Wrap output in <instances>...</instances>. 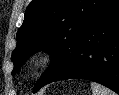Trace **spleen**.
Wrapping results in <instances>:
<instances>
[{
    "label": "spleen",
    "instance_id": "obj_1",
    "mask_svg": "<svg viewBox=\"0 0 119 95\" xmlns=\"http://www.w3.org/2000/svg\"><path fill=\"white\" fill-rule=\"evenodd\" d=\"M92 88V94L93 95H116L115 92L112 90L106 88L105 86H102L96 82L91 83Z\"/></svg>",
    "mask_w": 119,
    "mask_h": 95
}]
</instances>
